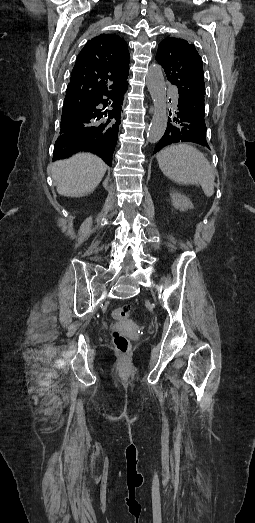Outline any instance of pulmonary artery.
<instances>
[{"instance_id": "1", "label": "pulmonary artery", "mask_w": 255, "mask_h": 523, "mask_svg": "<svg viewBox=\"0 0 255 523\" xmlns=\"http://www.w3.org/2000/svg\"><path fill=\"white\" fill-rule=\"evenodd\" d=\"M168 88H169L168 98L171 101L170 105H171V107L176 108L179 105V102H178L179 95H178L177 85H176V83L171 82V83H169Z\"/></svg>"}]
</instances>
